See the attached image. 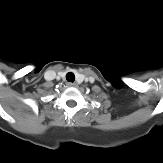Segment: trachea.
<instances>
[{
    "label": "trachea",
    "instance_id": "trachea-1",
    "mask_svg": "<svg viewBox=\"0 0 163 163\" xmlns=\"http://www.w3.org/2000/svg\"><path fill=\"white\" fill-rule=\"evenodd\" d=\"M66 80L68 82H74L75 81V75L72 72H68L66 74Z\"/></svg>",
    "mask_w": 163,
    "mask_h": 163
}]
</instances>
